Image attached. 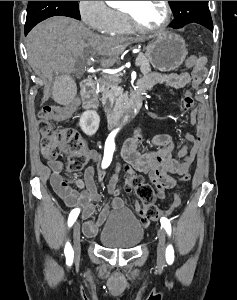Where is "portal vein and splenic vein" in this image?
I'll return each mask as SVG.
<instances>
[{
    "mask_svg": "<svg viewBox=\"0 0 237 300\" xmlns=\"http://www.w3.org/2000/svg\"><path fill=\"white\" fill-rule=\"evenodd\" d=\"M140 64H141V63L137 60L136 63H135V65H134V66H135V69H138V66H139ZM116 73H117V72H116Z\"/></svg>",
    "mask_w": 237,
    "mask_h": 300,
    "instance_id": "18ae733b",
    "label": "portal vein and splenic vein"
}]
</instances>
